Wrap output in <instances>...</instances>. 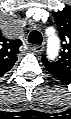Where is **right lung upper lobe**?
Here are the masks:
<instances>
[{
    "instance_id": "obj_1",
    "label": "right lung upper lobe",
    "mask_w": 71,
    "mask_h": 119,
    "mask_svg": "<svg viewBox=\"0 0 71 119\" xmlns=\"http://www.w3.org/2000/svg\"><path fill=\"white\" fill-rule=\"evenodd\" d=\"M21 45L20 39L10 40L4 36L0 37V72L2 74L12 69L17 61V54L20 52Z\"/></svg>"
}]
</instances>
